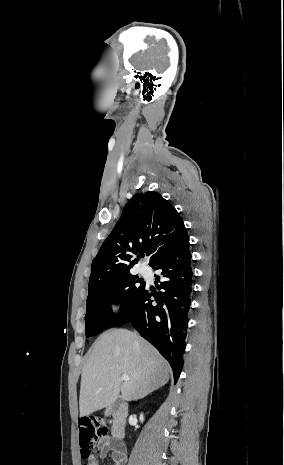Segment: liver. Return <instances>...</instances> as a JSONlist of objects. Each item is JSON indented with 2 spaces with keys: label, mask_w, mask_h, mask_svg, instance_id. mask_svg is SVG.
<instances>
[{
  "label": "liver",
  "mask_w": 284,
  "mask_h": 465,
  "mask_svg": "<svg viewBox=\"0 0 284 465\" xmlns=\"http://www.w3.org/2000/svg\"><path fill=\"white\" fill-rule=\"evenodd\" d=\"M170 367L160 353L126 329L102 333L82 369L80 417L110 407L121 393L123 401L143 399L169 381ZM122 375L130 381L122 383Z\"/></svg>",
  "instance_id": "6515ba94"
}]
</instances>
